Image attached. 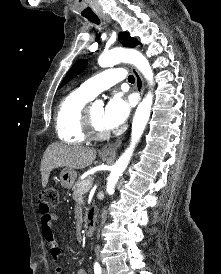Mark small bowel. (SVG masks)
Segmentation results:
<instances>
[{"label": "small bowel", "mask_w": 221, "mask_h": 274, "mask_svg": "<svg viewBox=\"0 0 221 274\" xmlns=\"http://www.w3.org/2000/svg\"><path fill=\"white\" fill-rule=\"evenodd\" d=\"M39 213L41 231L46 247L51 255V258L54 261H59L62 254L53 233V224L56 221L57 216L51 211V207L47 206L43 202L39 205ZM55 274H63V268L61 266H57L55 268ZM77 274H87V272L80 268L77 270Z\"/></svg>", "instance_id": "obj_1"}]
</instances>
